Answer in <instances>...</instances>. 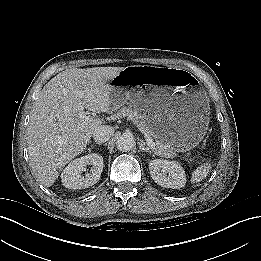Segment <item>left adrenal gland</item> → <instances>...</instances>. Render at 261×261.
<instances>
[{
    "label": "left adrenal gland",
    "mask_w": 261,
    "mask_h": 261,
    "mask_svg": "<svg viewBox=\"0 0 261 261\" xmlns=\"http://www.w3.org/2000/svg\"><path fill=\"white\" fill-rule=\"evenodd\" d=\"M139 145H140V150L143 151V152H148V153H152L151 150L145 145V142L144 141H140L139 142Z\"/></svg>",
    "instance_id": "left-adrenal-gland-1"
}]
</instances>
